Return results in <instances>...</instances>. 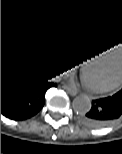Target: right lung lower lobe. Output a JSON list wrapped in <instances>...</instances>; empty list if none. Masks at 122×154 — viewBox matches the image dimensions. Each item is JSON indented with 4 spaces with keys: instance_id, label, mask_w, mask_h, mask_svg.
Segmentation results:
<instances>
[{
    "instance_id": "right-lung-lower-lobe-1",
    "label": "right lung lower lobe",
    "mask_w": 122,
    "mask_h": 154,
    "mask_svg": "<svg viewBox=\"0 0 122 154\" xmlns=\"http://www.w3.org/2000/svg\"><path fill=\"white\" fill-rule=\"evenodd\" d=\"M42 63L15 77L1 76V113L12 120H25L36 115L45 102V92L53 84L40 79L49 64L52 52H41Z\"/></svg>"
}]
</instances>
